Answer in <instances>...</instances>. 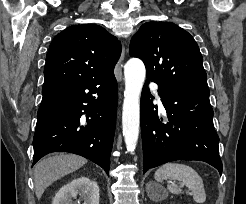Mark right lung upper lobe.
I'll return each instance as SVG.
<instances>
[{"label": "right lung upper lobe", "instance_id": "cb5924a9", "mask_svg": "<svg viewBox=\"0 0 246 204\" xmlns=\"http://www.w3.org/2000/svg\"><path fill=\"white\" fill-rule=\"evenodd\" d=\"M121 44L103 27L73 25L55 36L44 68L43 87L113 75Z\"/></svg>", "mask_w": 246, "mask_h": 204}]
</instances>
